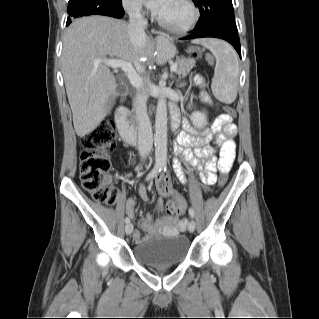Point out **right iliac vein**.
Returning a JSON list of instances; mask_svg holds the SVG:
<instances>
[{"label":"right iliac vein","mask_w":319,"mask_h":319,"mask_svg":"<svg viewBox=\"0 0 319 319\" xmlns=\"http://www.w3.org/2000/svg\"><path fill=\"white\" fill-rule=\"evenodd\" d=\"M133 231V224L132 223H127L126 226H125V233L127 235H130Z\"/></svg>","instance_id":"obj_1"}]
</instances>
